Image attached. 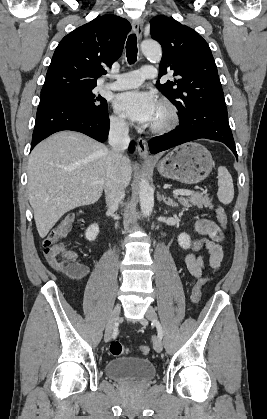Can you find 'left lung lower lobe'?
<instances>
[{
  "label": "left lung lower lobe",
  "mask_w": 267,
  "mask_h": 419,
  "mask_svg": "<svg viewBox=\"0 0 267 419\" xmlns=\"http://www.w3.org/2000/svg\"><path fill=\"white\" fill-rule=\"evenodd\" d=\"M206 138L226 144L238 159L234 139L228 122L227 108L198 109L184 119L179 126L164 135L152 138L149 148L152 154L177 145Z\"/></svg>",
  "instance_id": "1"
}]
</instances>
